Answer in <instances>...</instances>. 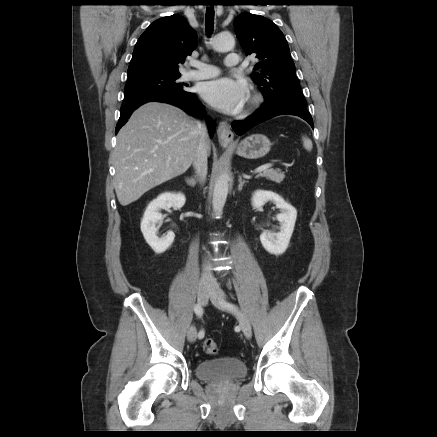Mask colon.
<instances>
[{
  "mask_svg": "<svg viewBox=\"0 0 437 437\" xmlns=\"http://www.w3.org/2000/svg\"><path fill=\"white\" fill-rule=\"evenodd\" d=\"M203 351L208 355H214L218 352L217 343L211 339H206L203 343Z\"/></svg>",
  "mask_w": 437,
  "mask_h": 437,
  "instance_id": "5ec220e1",
  "label": "colon"
}]
</instances>
